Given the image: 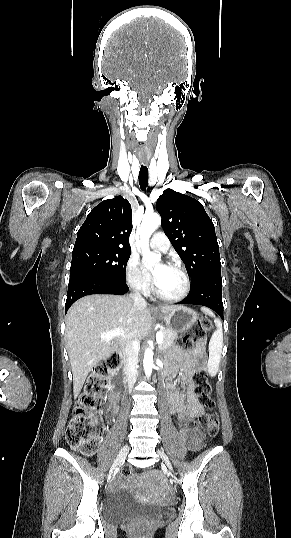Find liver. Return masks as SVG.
Segmentation results:
<instances>
[{
	"label": "liver",
	"instance_id": "6515ba94",
	"mask_svg": "<svg viewBox=\"0 0 291 538\" xmlns=\"http://www.w3.org/2000/svg\"><path fill=\"white\" fill-rule=\"evenodd\" d=\"M176 306H161L168 313ZM151 310L147 304L136 306L127 296L94 294L75 302L68 310L65 341L77 397L92 368L108 358L131 339H142L151 329ZM121 330L123 335L110 340L101 334Z\"/></svg>",
	"mask_w": 291,
	"mask_h": 538
}]
</instances>
